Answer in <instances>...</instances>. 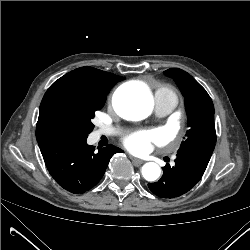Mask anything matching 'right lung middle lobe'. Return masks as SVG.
<instances>
[{
    "instance_id": "obj_1",
    "label": "right lung middle lobe",
    "mask_w": 250,
    "mask_h": 250,
    "mask_svg": "<svg viewBox=\"0 0 250 250\" xmlns=\"http://www.w3.org/2000/svg\"><path fill=\"white\" fill-rule=\"evenodd\" d=\"M111 87L95 94L69 92L62 101V113L68 126L69 134L87 135L94 125L91 120L95 111L102 109Z\"/></svg>"
}]
</instances>
